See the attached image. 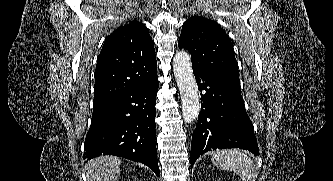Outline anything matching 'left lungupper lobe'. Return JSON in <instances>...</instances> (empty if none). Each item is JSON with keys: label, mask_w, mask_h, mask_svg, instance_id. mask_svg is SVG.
Instances as JSON below:
<instances>
[{"label": "left lung upper lobe", "mask_w": 333, "mask_h": 181, "mask_svg": "<svg viewBox=\"0 0 333 181\" xmlns=\"http://www.w3.org/2000/svg\"><path fill=\"white\" fill-rule=\"evenodd\" d=\"M178 46L190 52L193 69L219 78L240 90L234 49L218 23L199 16L189 18L182 26Z\"/></svg>", "instance_id": "left-lung-upper-lobe-1"}]
</instances>
